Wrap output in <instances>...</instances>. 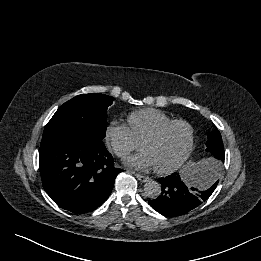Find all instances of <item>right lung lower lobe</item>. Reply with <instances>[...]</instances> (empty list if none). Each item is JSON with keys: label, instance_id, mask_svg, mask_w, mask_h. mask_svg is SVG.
I'll list each match as a JSON object with an SVG mask.
<instances>
[{"label": "right lung lower lobe", "instance_id": "98d812e1", "mask_svg": "<svg viewBox=\"0 0 261 261\" xmlns=\"http://www.w3.org/2000/svg\"><path fill=\"white\" fill-rule=\"evenodd\" d=\"M39 162L45 191L56 204L73 213H87L99 207L123 171L114 167L102 138L91 132L42 140Z\"/></svg>", "mask_w": 261, "mask_h": 261}]
</instances>
